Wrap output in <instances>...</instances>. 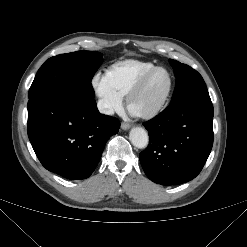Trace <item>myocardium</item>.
Here are the masks:
<instances>
[{"label":"myocardium","mask_w":247,"mask_h":247,"mask_svg":"<svg viewBox=\"0 0 247 247\" xmlns=\"http://www.w3.org/2000/svg\"><path fill=\"white\" fill-rule=\"evenodd\" d=\"M159 70L165 71L166 74L168 75L169 83H168V88L165 94L159 101L154 103L152 106H150L146 110L135 111L133 108L135 101L144 93L151 78ZM172 91H173V77H172L171 72L163 66H155L152 69H150L147 73H145L142 76V78L138 81V83L129 92V94L127 95V108L132 114H134L137 117L144 118V119L153 118L157 116L159 113H161L162 110L165 108L166 104L168 103L171 97Z\"/></svg>","instance_id":"myocardium-1"}]
</instances>
